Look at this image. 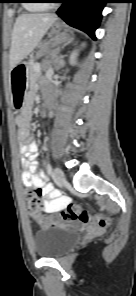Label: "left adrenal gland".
<instances>
[{
    "label": "left adrenal gland",
    "mask_w": 136,
    "mask_h": 296,
    "mask_svg": "<svg viewBox=\"0 0 136 296\" xmlns=\"http://www.w3.org/2000/svg\"><path fill=\"white\" fill-rule=\"evenodd\" d=\"M73 41V38L69 39L67 43L64 44V46L68 45L69 43H71ZM63 46V47H64ZM64 65L63 61L61 60L59 63V68L62 67Z\"/></svg>",
    "instance_id": "obj_1"
}]
</instances>
